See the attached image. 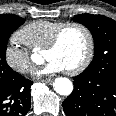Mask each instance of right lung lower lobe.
Instances as JSON below:
<instances>
[{"label":"right lung lower lobe","mask_w":116,"mask_h":116,"mask_svg":"<svg viewBox=\"0 0 116 116\" xmlns=\"http://www.w3.org/2000/svg\"><path fill=\"white\" fill-rule=\"evenodd\" d=\"M32 81L16 75L0 82V116H25L31 107Z\"/></svg>","instance_id":"obj_1"}]
</instances>
